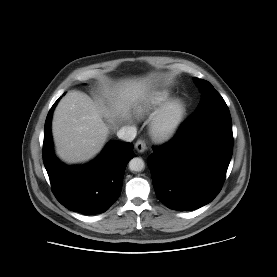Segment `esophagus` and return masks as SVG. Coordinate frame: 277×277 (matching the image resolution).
I'll return each mask as SVG.
<instances>
[{
  "instance_id": "obj_1",
  "label": "esophagus",
  "mask_w": 277,
  "mask_h": 277,
  "mask_svg": "<svg viewBox=\"0 0 277 277\" xmlns=\"http://www.w3.org/2000/svg\"><path fill=\"white\" fill-rule=\"evenodd\" d=\"M135 149L138 153H143L147 149V146L143 140H138L135 143Z\"/></svg>"
}]
</instances>
